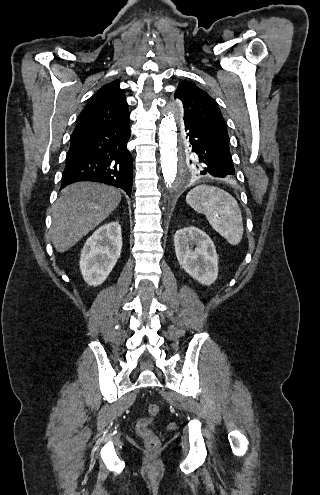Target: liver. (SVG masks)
Returning <instances> with one entry per match:
<instances>
[{"instance_id":"6515ba94","label":"liver","mask_w":320,"mask_h":495,"mask_svg":"<svg viewBox=\"0 0 320 495\" xmlns=\"http://www.w3.org/2000/svg\"><path fill=\"white\" fill-rule=\"evenodd\" d=\"M121 193L113 187L77 182L62 189L52 213L51 238L65 252L105 220L119 205Z\"/></svg>"}]
</instances>
